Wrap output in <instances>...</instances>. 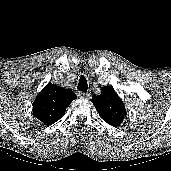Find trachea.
<instances>
[{
  "label": "trachea",
  "mask_w": 171,
  "mask_h": 171,
  "mask_svg": "<svg viewBox=\"0 0 171 171\" xmlns=\"http://www.w3.org/2000/svg\"><path fill=\"white\" fill-rule=\"evenodd\" d=\"M77 89L79 91H82V92H87V89H88V83H87V80H86V77L85 76H81L80 79H79V83H78V86H77Z\"/></svg>",
  "instance_id": "obj_1"
}]
</instances>
